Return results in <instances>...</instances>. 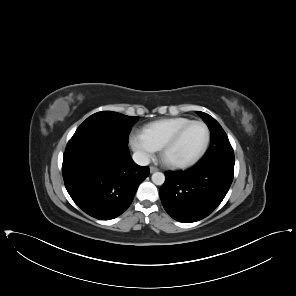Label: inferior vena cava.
Segmentation results:
<instances>
[{
	"label": "inferior vena cava",
	"mask_w": 296,
	"mask_h": 296,
	"mask_svg": "<svg viewBox=\"0 0 296 296\" xmlns=\"http://www.w3.org/2000/svg\"><path fill=\"white\" fill-rule=\"evenodd\" d=\"M132 158L140 166H146L150 163V158L142 151H136Z\"/></svg>",
	"instance_id": "inferior-vena-cava-1"
}]
</instances>
